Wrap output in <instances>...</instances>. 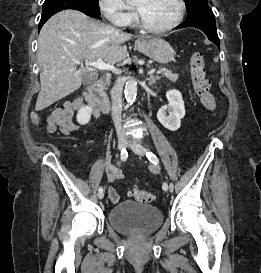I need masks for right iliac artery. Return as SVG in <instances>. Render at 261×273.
I'll return each instance as SVG.
<instances>
[{
	"instance_id": "right-iliac-artery-1",
	"label": "right iliac artery",
	"mask_w": 261,
	"mask_h": 273,
	"mask_svg": "<svg viewBox=\"0 0 261 273\" xmlns=\"http://www.w3.org/2000/svg\"><path fill=\"white\" fill-rule=\"evenodd\" d=\"M121 160L122 161H126L127 160V158H128V152L126 151V149H123L122 151H121ZM98 191L99 192H103V188L102 187H99V189H98Z\"/></svg>"
}]
</instances>
